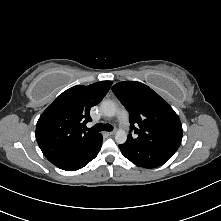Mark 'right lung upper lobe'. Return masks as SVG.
Masks as SVG:
<instances>
[{
    "label": "right lung upper lobe",
    "mask_w": 221,
    "mask_h": 221,
    "mask_svg": "<svg viewBox=\"0 0 221 221\" xmlns=\"http://www.w3.org/2000/svg\"><path fill=\"white\" fill-rule=\"evenodd\" d=\"M111 81L88 86H74L60 94L42 113L36 126V140L45 157L58 168L66 167L100 133L86 132L82 128L91 121L90 108L107 94Z\"/></svg>",
    "instance_id": "right-lung-upper-lobe-1"
}]
</instances>
